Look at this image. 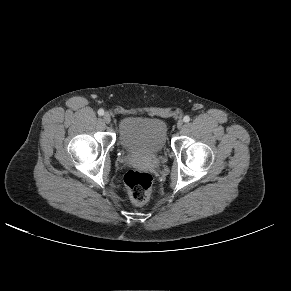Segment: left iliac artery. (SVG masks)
I'll use <instances>...</instances> for the list:
<instances>
[{"label": "left iliac artery", "mask_w": 291, "mask_h": 291, "mask_svg": "<svg viewBox=\"0 0 291 291\" xmlns=\"http://www.w3.org/2000/svg\"><path fill=\"white\" fill-rule=\"evenodd\" d=\"M183 121L186 122V123L189 122V121H190V117L186 115V116L183 118Z\"/></svg>", "instance_id": "44dca946"}]
</instances>
